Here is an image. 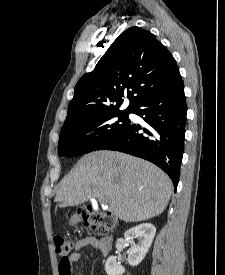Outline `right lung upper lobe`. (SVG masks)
Listing matches in <instances>:
<instances>
[{
  "label": "right lung upper lobe",
  "mask_w": 225,
  "mask_h": 275,
  "mask_svg": "<svg viewBox=\"0 0 225 275\" xmlns=\"http://www.w3.org/2000/svg\"><path fill=\"white\" fill-rule=\"evenodd\" d=\"M182 81L172 54L149 31L132 27L120 34L94 70L76 84L67 126L82 118L118 110L126 94L133 108L143 98Z\"/></svg>",
  "instance_id": "right-lung-upper-lobe-1"
}]
</instances>
